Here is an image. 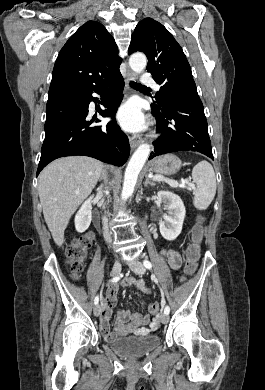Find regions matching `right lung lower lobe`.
<instances>
[{
    "instance_id": "1",
    "label": "right lung lower lobe",
    "mask_w": 265,
    "mask_h": 390,
    "mask_svg": "<svg viewBox=\"0 0 265 390\" xmlns=\"http://www.w3.org/2000/svg\"><path fill=\"white\" fill-rule=\"evenodd\" d=\"M123 87L124 80L118 73L88 92L47 102L45 139L37 176L51 161L69 155L90 156L116 166L126 163L129 140L115 120ZM106 91L108 93L102 102L106 109L99 107L98 112L103 117L111 116L113 120L106 126H100L96 125L100 120L96 116L91 117L88 108L91 101L97 103L92 93Z\"/></svg>"
}]
</instances>
